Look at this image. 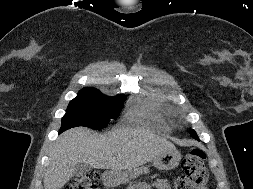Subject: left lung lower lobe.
Listing matches in <instances>:
<instances>
[{
	"instance_id": "1",
	"label": "left lung lower lobe",
	"mask_w": 253,
	"mask_h": 189,
	"mask_svg": "<svg viewBox=\"0 0 253 189\" xmlns=\"http://www.w3.org/2000/svg\"><path fill=\"white\" fill-rule=\"evenodd\" d=\"M193 138L199 140L198 136L197 135H191Z\"/></svg>"
}]
</instances>
